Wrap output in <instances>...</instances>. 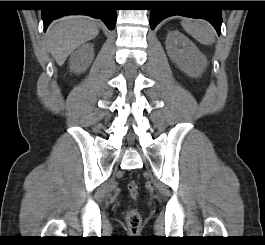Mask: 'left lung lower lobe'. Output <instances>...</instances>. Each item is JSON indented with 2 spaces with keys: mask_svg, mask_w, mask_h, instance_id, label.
<instances>
[{
  "mask_svg": "<svg viewBox=\"0 0 265 245\" xmlns=\"http://www.w3.org/2000/svg\"><path fill=\"white\" fill-rule=\"evenodd\" d=\"M162 7L151 10L150 26L154 29L157 24L163 19L181 15L191 18H203L208 20L217 30L218 34L221 31L222 16L221 10L214 8V1H160ZM205 6L203 8H193L192 6Z\"/></svg>",
  "mask_w": 265,
  "mask_h": 245,
  "instance_id": "1",
  "label": "left lung lower lobe"
}]
</instances>
